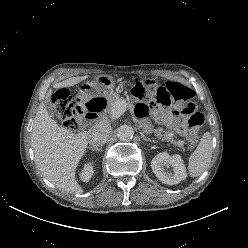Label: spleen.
Wrapping results in <instances>:
<instances>
[{
	"mask_svg": "<svg viewBox=\"0 0 248 248\" xmlns=\"http://www.w3.org/2000/svg\"><path fill=\"white\" fill-rule=\"evenodd\" d=\"M212 137L204 133L196 150L190 155L188 171L191 177L200 176L209 166L212 158Z\"/></svg>",
	"mask_w": 248,
	"mask_h": 248,
	"instance_id": "1",
	"label": "spleen"
}]
</instances>
